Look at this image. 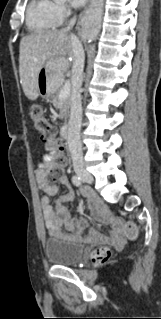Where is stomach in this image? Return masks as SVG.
<instances>
[{
  "label": "stomach",
  "mask_w": 161,
  "mask_h": 319,
  "mask_svg": "<svg viewBox=\"0 0 161 319\" xmlns=\"http://www.w3.org/2000/svg\"><path fill=\"white\" fill-rule=\"evenodd\" d=\"M64 69L57 59H50L38 73V90L44 98L53 96L63 83Z\"/></svg>",
  "instance_id": "obj_1"
}]
</instances>
